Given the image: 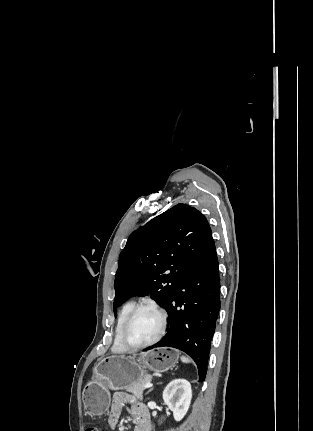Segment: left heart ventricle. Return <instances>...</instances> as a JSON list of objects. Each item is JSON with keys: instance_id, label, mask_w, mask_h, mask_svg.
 <instances>
[{"instance_id": "1", "label": "left heart ventricle", "mask_w": 313, "mask_h": 431, "mask_svg": "<svg viewBox=\"0 0 313 431\" xmlns=\"http://www.w3.org/2000/svg\"><path fill=\"white\" fill-rule=\"evenodd\" d=\"M160 328L159 315L152 309H142L133 319L127 333L132 344H143L156 336Z\"/></svg>"}]
</instances>
